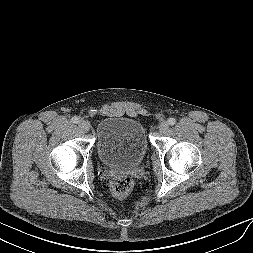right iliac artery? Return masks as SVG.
Listing matches in <instances>:
<instances>
[{"label": "right iliac artery", "instance_id": "right-iliac-artery-1", "mask_svg": "<svg viewBox=\"0 0 253 253\" xmlns=\"http://www.w3.org/2000/svg\"><path fill=\"white\" fill-rule=\"evenodd\" d=\"M71 121L73 122V123H78L79 122V118L78 117H73L72 119H71Z\"/></svg>", "mask_w": 253, "mask_h": 253}]
</instances>
